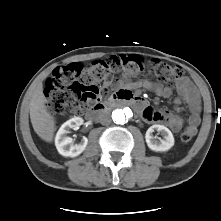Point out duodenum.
<instances>
[{"label":"duodenum","instance_id":"duodenum-1","mask_svg":"<svg viewBox=\"0 0 221 221\" xmlns=\"http://www.w3.org/2000/svg\"><path fill=\"white\" fill-rule=\"evenodd\" d=\"M118 102H128L130 105L139 109H141L144 104L143 99L135 98L129 90L122 89L112 94L104 102H96L90 108L85 109L84 115L92 120L96 118L100 112L107 110L110 106Z\"/></svg>","mask_w":221,"mask_h":221}]
</instances>
